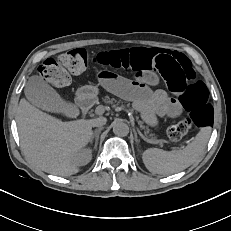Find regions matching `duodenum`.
I'll return each mask as SVG.
<instances>
[{
	"instance_id": "duodenum-1",
	"label": "duodenum",
	"mask_w": 231,
	"mask_h": 231,
	"mask_svg": "<svg viewBox=\"0 0 231 231\" xmlns=\"http://www.w3.org/2000/svg\"><path fill=\"white\" fill-rule=\"evenodd\" d=\"M78 105L82 110L83 114H88L92 105H93V99L89 97H84L78 100Z\"/></svg>"
}]
</instances>
